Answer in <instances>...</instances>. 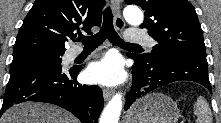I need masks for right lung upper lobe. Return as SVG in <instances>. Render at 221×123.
<instances>
[{"mask_svg": "<svg viewBox=\"0 0 221 123\" xmlns=\"http://www.w3.org/2000/svg\"><path fill=\"white\" fill-rule=\"evenodd\" d=\"M104 0H36L23 21L13 54L65 52L64 42L101 24Z\"/></svg>", "mask_w": 221, "mask_h": 123, "instance_id": "cb5924a9", "label": "right lung upper lobe"}]
</instances>
